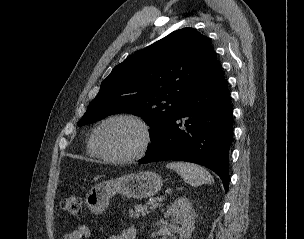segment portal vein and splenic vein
I'll return each mask as SVG.
<instances>
[{
    "label": "portal vein and splenic vein",
    "instance_id": "18ae733b",
    "mask_svg": "<svg viewBox=\"0 0 304 239\" xmlns=\"http://www.w3.org/2000/svg\"><path fill=\"white\" fill-rule=\"evenodd\" d=\"M159 201H160V199H157V200H155L153 203H152V205H151V209H155V208H157V206H158V204H159Z\"/></svg>",
    "mask_w": 304,
    "mask_h": 239
}]
</instances>
